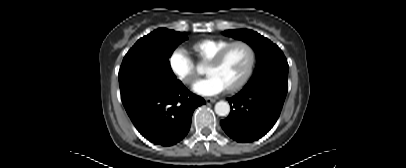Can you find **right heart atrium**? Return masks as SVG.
<instances>
[{
    "instance_id": "right-heart-atrium-1",
    "label": "right heart atrium",
    "mask_w": 406,
    "mask_h": 168,
    "mask_svg": "<svg viewBox=\"0 0 406 168\" xmlns=\"http://www.w3.org/2000/svg\"><path fill=\"white\" fill-rule=\"evenodd\" d=\"M169 65L175 76L184 84L190 85L195 80V65L186 50L178 47L169 56Z\"/></svg>"
}]
</instances>
